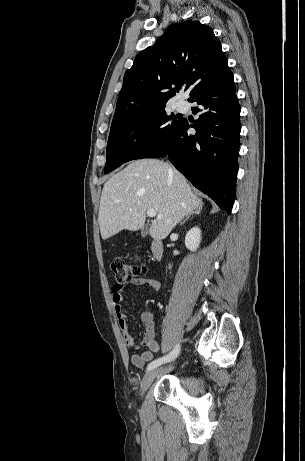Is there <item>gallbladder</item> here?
Wrapping results in <instances>:
<instances>
[{
    "instance_id": "1",
    "label": "gallbladder",
    "mask_w": 305,
    "mask_h": 461,
    "mask_svg": "<svg viewBox=\"0 0 305 461\" xmlns=\"http://www.w3.org/2000/svg\"><path fill=\"white\" fill-rule=\"evenodd\" d=\"M146 235H147V230H146V229H143V230L141 231V236H142V237H145Z\"/></svg>"
}]
</instances>
